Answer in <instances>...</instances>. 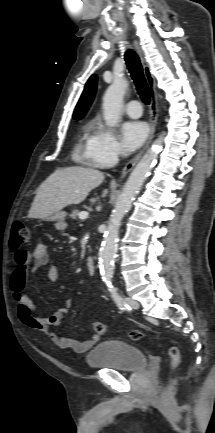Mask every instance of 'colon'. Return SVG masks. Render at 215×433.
Masks as SVG:
<instances>
[{
  "mask_svg": "<svg viewBox=\"0 0 215 433\" xmlns=\"http://www.w3.org/2000/svg\"><path fill=\"white\" fill-rule=\"evenodd\" d=\"M31 239V234L28 226L23 222L16 221L12 226L10 246L13 249H18L23 245L27 244ZM94 331L98 335H104L107 333V327L102 322H95L93 324ZM130 337L132 339L138 340L142 338L143 334L140 331H131ZM168 356L170 359V369L171 373L175 372L180 364V355L177 347L172 346L168 351Z\"/></svg>",
  "mask_w": 215,
  "mask_h": 433,
  "instance_id": "colon-1",
  "label": "colon"
}]
</instances>
